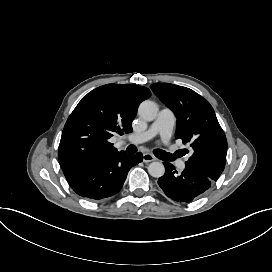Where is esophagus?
Instances as JSON below:
<instances>
[{
  "label": "esophagus",
  "instance_id": "1",
  "mask_svg": "<svg viewBox=\"0 0 272 272\" xmlns=\"http://www.w3.org/2000/svg\"><path fill=\"white\" fill-rule=\"evenodd\" d=\"M142 158H143V162H151V161H155L157 159L151 153H144Z\"/></svg>",
  "mask_w": 272,
  "mask_h": 272
}]
</instances>
